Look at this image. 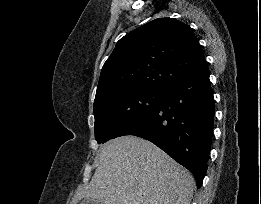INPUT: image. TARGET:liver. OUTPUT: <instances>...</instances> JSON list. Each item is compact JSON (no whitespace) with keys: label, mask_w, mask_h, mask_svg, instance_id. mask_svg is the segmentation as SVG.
<instances>
[{"label":"liver","mask_w":261,"mask_h":204,"mask_svg":"<svg viewBox=\"0 0 261 204\" xmlns=\"http://www.w3.org/2000/svg\"><path fill=\"white\" fill-rule=\"evenodd\" d=\"M98 167L73 202L93 198L103 204H190L195 181L189 171L153 143L122 136L103 144Z\"/></svg>","instance_id":"liver-1"}]
</instances>
